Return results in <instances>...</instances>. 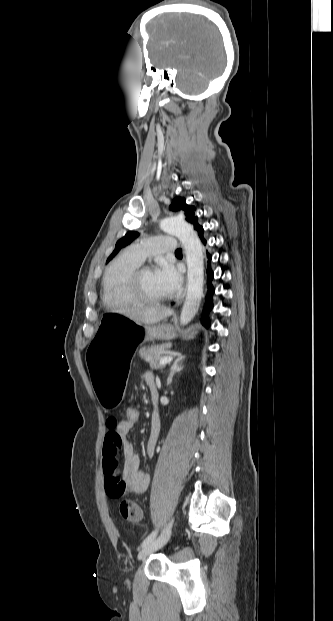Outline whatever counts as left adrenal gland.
<instances>
[{
    "mask_svg": "<svg viewBox=\"0 0 333 621\" xmlns=\"http://www.w3.org/2000/svg\"><path fill=\"white\" fill-rule=\"evenodd\" d=\"M185 359L184 355H181L179 353L178 358L173 362V364L170 367V373L168 375L167 378V385H170L173 379V376L179 372H181L184 368V366L182 365V361Z\"/></svg>",
    "mask_w": 333,
    "mask_h": 621,
    "instance_id": "1",
    "label": "left adrenal gland"
}]
</instances>
